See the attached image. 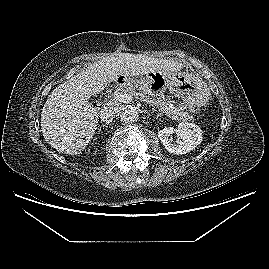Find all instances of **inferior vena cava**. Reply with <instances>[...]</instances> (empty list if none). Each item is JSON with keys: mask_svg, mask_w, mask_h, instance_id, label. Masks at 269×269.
<instances>
[{"mask_svg": "<svg viewBox=\"0 0 269 269\" xmlns=\"http://www.w3.org/2000/svg\"><path fill=\"white\" fill-rule=\"evenodd\" d=\"M121 107L118 104H113L106 107L100 113V118L106 123H110L113 118L120 115Z\"/></svg>", "mask_w": 269, "mask_h": 269, "instance_id": "1", "label": "inferior vena cava"}]
</instances>
